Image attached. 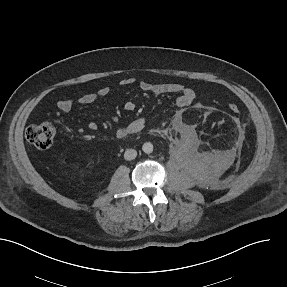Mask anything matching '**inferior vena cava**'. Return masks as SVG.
<instances>
[{"label":"inferior vena cava","mask_w":287,"mask_h":287,"mask_svg":"<svg viewBox=\"0 0 287 287\" xmlns=\"http://www.w3.org/2000/svg\"><path fill=\"white\" fill-rule=\"evenodd\" d=\"M137 156V151L135 149H127L124 153V159L125 160H133Z\"/></svg>","instance_id":"obj_1"}]
</instances>
